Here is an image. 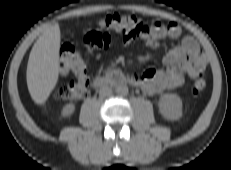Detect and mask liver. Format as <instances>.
Listing matches in <instances>:
<instances>
[{"instance_id": "liver-1", "label": "liver", "mask_w": 231, "mask_h": 170, "mask_svg": "<svg viewBox=\"0 0 231 170\" xmlns=\"http://www.w3.org/2000/svg\"><path fill=\"white\" fill-rule=\"evenodd\" d=\"M59 24L49 26L34 43L27 64L26 79L31 98L44 104L59 77Z\"/></svg>"}]
</instances>
